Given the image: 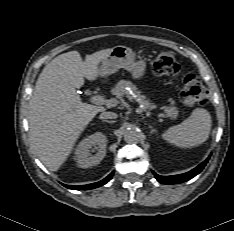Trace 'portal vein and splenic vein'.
<instances>
[{
  "mask_svg": "<svg viewBox=\"0 0 234 231\" xmlns=\"http://www.w3.org/2000/svg\"><path fill=\"white\" fill-rule=\"evenodd\" d=\"M90 101L96 105H105L108 103L107 100H105V98H103L102 96L100 95H95V96H92L90 98ZM159 117H165L164 114H158Z\"/></svg>",
  "mask_w": 234,
  "mask_h": 231,
  "instance_id": "18ae733b",
  "label": "portal vein and splenic vein"
}]
</instances>
